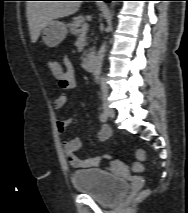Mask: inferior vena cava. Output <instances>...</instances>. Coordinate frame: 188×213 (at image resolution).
<instances>
[{
    "label": "inferior vena cava",
    "mask_w": 188,
    "mask_h": 213,
    "mask_svg": "<svg viewBox=\"0 0 188 213\" xmlns=\"http://www.w3.org/2000/svg\"><path fill=\"white\" fill-rule=\"evenodd\" d=\"M101 89H102L104 94L107 93L108 88H107V85H106V82H105L104 78L101 79Z\"/></svg>",
    "instance_id": "602c4592"
}]
</instances>
